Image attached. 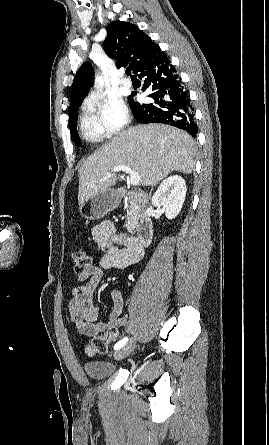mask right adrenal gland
<instances>
[{
    "mask_svg": "<svg viewBox=\"0 0 269 445\" xmlns=\"http://www.w3.org/2000/svg\"><path fill=\"white\" fill-rule=\"evenodd\" d=\"M154 186H155V185L152 186L151 191L153 190V187H154ZM150 194H151V193H150Z\"/></svg>",
    "mask_w": 269,
    "mask_h": 445,
    "instance_id": "1",
    "label": "right adrenal gland"
}]
</instances>
